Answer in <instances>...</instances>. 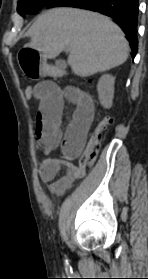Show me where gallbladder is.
<instances>
[{
	"label": "gallbladder",
	"instance_id": "gallbladder-1",
	"mask_svg": "<svg viewBox=\"0 0 148 279\" xmlns=\"http://www.w3.org/2000/svg\"><path fill=\"white\" fill-rule=\"evenodd\" d=\"M55 65H56V67H59V68H61V67H62V64H61V62H60V61H56Z\"/></svg>",
	"mask_w": 148,
	"mask_h": 279
}]
</instances>
